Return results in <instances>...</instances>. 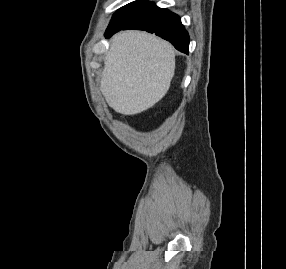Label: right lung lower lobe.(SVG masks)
I'll list each match as a JSON object with an SVG mask.
<instances>
[{"mask_svg":"<svg viewBox=\"0 0 286 269\" xmlns=\"http://www.w3.org/2000/svg\"><path fill=\"white\" fill-rule=\"evenodd\" d=\"M127 29L155 33L171 42L177 50L188 54L190 40L188 32L182 25L180 17L167 9L155 6L122 28L106 30L105 37H110L120 30Z\"/></svg>","mask_w":286,"mask_h":269,"instance_id":"right-lung-lower-lobe-1","label":"right lung lower lobe"}]
</instances>
